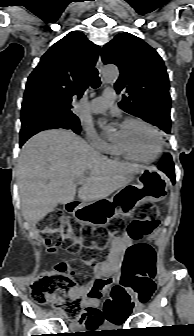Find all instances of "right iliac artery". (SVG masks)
I'll use <instances>...</instances> for the list:
<instances>
[{
  "mask_svg": "<svg viewBox=\"0 0 194 336\" xmlns=\"http://www.w3.org/2000/svg\"><path fill=\"white\" fill-rule=\"evenodd\" d=\"M58 312H61V310H60V309H58Z\"/></svg>",
  "mask_w": 194,
  "mask_h": 336,
  "instance_id": "82829eb1",
  "label": "right iliac artery"
}]
</instances>
